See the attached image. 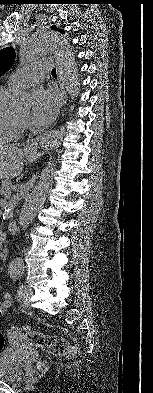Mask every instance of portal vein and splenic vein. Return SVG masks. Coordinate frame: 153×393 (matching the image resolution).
<instances>
[{"mask_svg":"<svg viewBox=\"0 0 153 393\" xmlns=\"http://www.w3.org/2000/svg\"><path fill=\"white\" fill-rule=\"evenodd\" d=\"M5 197L8 199V198H10L11 197V193H7L6 195H5Z\"/></svg>","mask_w":153,"mask_h":393,"instance_id":"obj_1","label":"portal vein and splenic vein"}]
</instances>
